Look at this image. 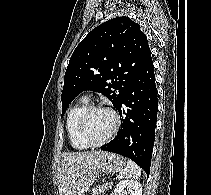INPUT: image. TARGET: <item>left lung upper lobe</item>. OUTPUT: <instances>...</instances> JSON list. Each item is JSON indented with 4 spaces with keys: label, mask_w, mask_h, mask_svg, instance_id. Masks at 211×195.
<instances>
[{
    "label": "left lung upper lobe",
    "mask_w": 211,
    "mask_h": 195,
    "mask_svg": "<svg viewBox=\"0 0 211 195\" xmlns=\"http://www.w3.org/2000/svg\"><path fill=\"white\" fill-rule=\"evenodd\" d=\"M152 60L146 35L128 17L94 28L74 50L64 77L62 115L82 91L102 93L118 109L134 79Z\"/></svg>",
    "instance_id": "left-lung-upper-lobe-1"
}]
</instances>
